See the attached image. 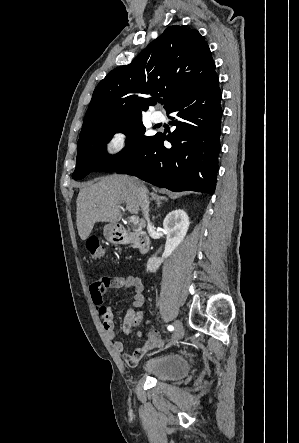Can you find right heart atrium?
<instances>
[{"label":"right heart atrium","mask_w":299,"mask_h":443,"mask_svg":"<svg viewBox=\"0 0 299 443\" xmlns=\"http://www.w3.org/2000/svg\"><path fill=\"white\" fill-rule=\"evenodd\" d=\"M130 143V135L124 130L114 131L105 141V151L109 155H119L123 153Z\"/></svg>","instance_id":"obj_1"}]
</instances>
